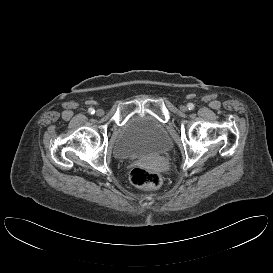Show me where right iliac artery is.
Masks as SVG:
<instances>
[{
	"mask_svg": "<svg viewBox=\"0 0 273 273\" xmlns=\"http://www.w3.org/2000/svg\"><path fill=\"white\" fill-rule=\"evenodd\" d=\"M88 112H89L90 114H94V113H95V110H94L93 108H89Z\"/></svg>",
	"mask_w": 273,
	"mask_h": 273,
	"instance_id": "obj_1",
	"label": "right iliac artery"
}]
</instances>
